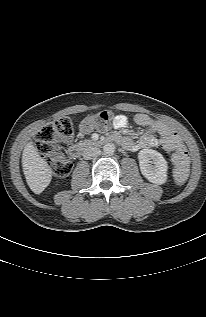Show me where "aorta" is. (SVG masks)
<instances>
[{
	"label": "aorta",
	"instance_id": "obj_1",
	"mask_svg": "<svg viewBox=\"0 0 206 317\" xmlns=\"http://www.w3.org/2000/svg\"><path fill=\"white\" fill-rule=\"evenodd\" d=\"M115 145L113 143H107L103 146V151L105 154L111 155L115 152Z\"/></svg>",
	"mask_w": 206,
	"mask_h": 317
}]
</instances>
